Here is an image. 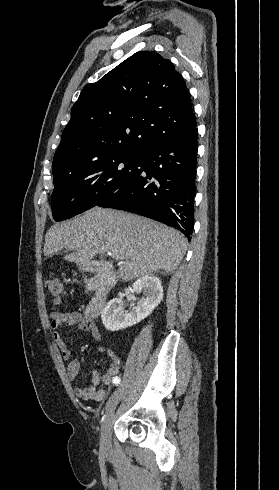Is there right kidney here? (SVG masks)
<instances>
[{"label": "right kidney", "instance_id": "right-kidney-1", "mask_svg": "<svg viewBox=\"0 0 279 490\" xmlns=\"http://www.w3.org/2000/svg\"><path fill=\"white\" fill-rule=\"evenodd\" d=\"M130 292H143L145 298H141L137 306L132 308L131 312H124L119 298H113L102 310L101 320L104 328L110 332L124 330L129 326H134L142 322L144 318L150 316L151 312L159 306L163 300V286L154 274L142 276L128 288Z\"/></svg>", "mask_w": 279, "mask_h": 490}]
</instances>
